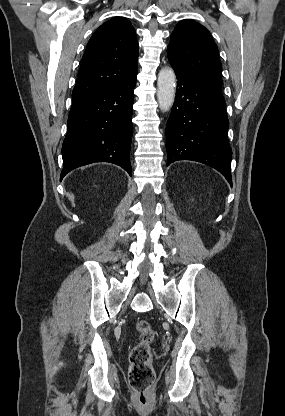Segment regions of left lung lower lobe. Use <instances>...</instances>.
Segmentation results:
<instances>
[{
    "instance_id": "obj_1",
    "label": "left lung lower lobe",
    "mask_w": 285,
    "mask_h": 416,
    "mask_svg": "<svg viewBox=\"0 0 285 416\" xmlns=\"http://www.w3.org/2000/svg\"><path fill=\"white\" fill-rule=\"evenodd\" d=\"M176 98L166 127L167 166L192 160L221 172L232 186L228 117L221 91L179 73Z\"/></svg>"
}]
</instances>
